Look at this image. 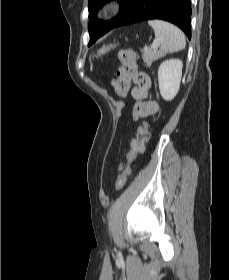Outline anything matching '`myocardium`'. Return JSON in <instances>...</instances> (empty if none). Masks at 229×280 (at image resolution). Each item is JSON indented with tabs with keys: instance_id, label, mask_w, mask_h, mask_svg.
<instances>
[{
	"instance_id": "f54148a6",
	"label": "myocardium",
	"mask_w": 229,
	"mask_h": 280,
	"mask_svg": "<svg viewBox=\"0 0 229 280\" xmlns=\"http://www.w3.org/2000/svg\"><path fill=\"white\" fill-rule=\"evenodd\" d=\"M122 3L117 0L105 1L99 8V14L102 17L108 18L117 15L122 10Z\"/></svg>"
}]
</instances>
